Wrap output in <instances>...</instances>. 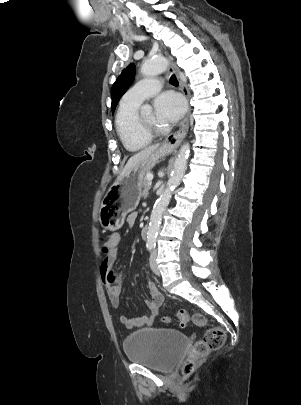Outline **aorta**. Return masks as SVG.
<instances>
[{"label":"aorta","mask_w":301,"mask_h":405,"mask_svg":"<svg viewBox=\"0 0 301 405\" xmlns=\"http://www.w3.org/2000/svg\"><path fill=\"white\" fill-rule=\"evenodd\" d=\"M167 65V60L162 57L146 60L141 66V73L144 76L157 75L164 72L167 69ZM189 154L190 144L184 143L175 159L174 167L167 182V186L154 204L147 232V248L149 249H153L156 245V238L160 229L163 212L171 199L172 193L185 174Z\"/></svg>","instance_id":"aorta-1"}]
</instances>
